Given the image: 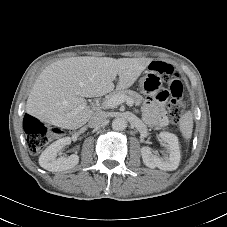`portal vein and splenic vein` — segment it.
<instances>
[{
    "instance_id": "18ae733b",
    "label": "portal vein and splenic vein",
    "mask_w": 227,
    "mask_h": 227,
    "mask_svg": "<svg viewBox=\"0 0 227 227\" xmlns=\"http://www.w3.org/2000/svg\"><path fill=\"white\" fill-rule=\"evenodd\" d=\"M126 102V104L130 107L133 106V100L128 98L126 99L125 96L123 95H114L112 97H110L109 99L105 100L102 105L105 106V107H108V108H113V107H116V106H119L120 104ZM86 107V103H83L82 105H80L79 107H77L75 109V112H79L81 111L82 109H84Z\"/></svg>"
}]
</instances>
